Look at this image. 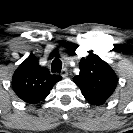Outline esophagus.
I'll use <instances>...</instances> for the list:
<instances>
[{"instance_id":"34e87169","label":"esophagus","mask_w":133,"mask_h":133,"mask_svg":"<svg viewBox=\"0 0 133 133\" xmlns=\"http://www.w3.org/2000/svg\"><path fill=\"white\" fill-rule=\"evenodd\" d=\"M61 76H62L63 78H66V77L68 76V70H67V68L62 69V71H61Z\"/></svg>"}]
</instances>
